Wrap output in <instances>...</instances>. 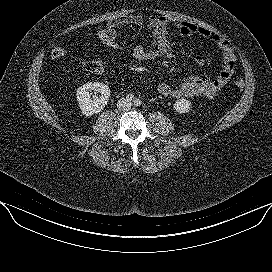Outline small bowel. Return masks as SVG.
<instances>
[{"instance_id":"1","label":"small bowel","mask_w":272,"mask_h":272,"mask_svg":"<svg viewBox=\"0 0 272 272\" xmlns=\"http://www.w3.org/2000/svg\"><path fill=\"white\" fill-rule=\"evenodd\" d=\"M125 26L148 28L151 31V42L148 45H138L132 51L133 57L138 61H153L171 54L172 46L168 39L169 28L178 30L185 37L199 35L212 42L221 51L222 64L215 77L205 73L189 76L178 85L160 82L157 90L164 96L175 99L214 98L229 81L236 67L237 58L232 45L224 37L207 28L165 16L150 17L145 20L141 16L125 15L110 21L104 29L118 35L120 28ZM195 62L200 68L206 66V60L202 56H197Z\"/></svg>"}]
</instances>
